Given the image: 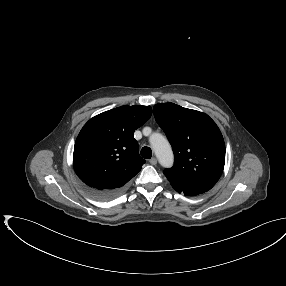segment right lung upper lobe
<instances>
[{
	"label": "right lung upper lobe",
	"instance_id": "1",
	"mask_svg": "<svg viewBox=\"0 0 286 286\" xmlns=\"http://www.w3.org/2000/svg\"><path fill=\"white\" fill-rule=\"evenodd\" d=\"M152 115L150 106H121L91 118L74 146L73 167L87 187L123 190L145 163L134 131Z\"/></svg>",
	"mask_w": 286,
	"mask_h": 286
}]
</instances>
